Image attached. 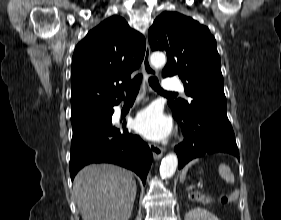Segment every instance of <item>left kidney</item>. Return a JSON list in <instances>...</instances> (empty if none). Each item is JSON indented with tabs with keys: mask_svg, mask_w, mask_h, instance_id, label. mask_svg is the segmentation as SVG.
Returning a JSON list of instances; mask_svg holds the SVG:
<instances>
[{
	"mask_svg": "<svg viewBox=\"0 0 281 220\" xmlns=\"http://www.w3.org/2000/svg\"><path fill=\"white\" fill-rule=\"evenodd\" d=\"M185 220H220L215 215L203 208H195L186 213Z\"/></svg>",
	"mask_w": 281,
	"mask_h": 220,
	"instance_id": "obj_1",
	"label": "left kidney"
}]
</instances>
